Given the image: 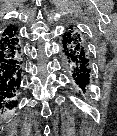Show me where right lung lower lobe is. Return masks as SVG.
Instances as JSON below:
<instances>
[{"label":"right lung lower lobe","mask_w":117,"mask_h":136,"mask_svg":"<svg viewBox=\"0 0 117 136\" xmlns=\"http://www.w3.org/2000/svg\"><path fill=\"white\" fill-rule=\"evenodd\" d=\"M22 63L17 27L8 26L0 34V106H17L15 97L21 83Z\"/></svg>","instance_id":"98d812e1"}]
</instances>
